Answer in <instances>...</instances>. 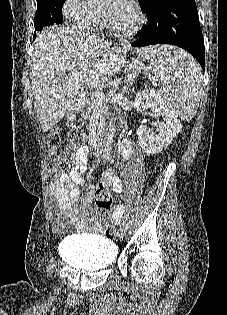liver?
<instances>
[{
    "label": "liver",
    "mask_w": 227,
    "mask_h": 315,
    "mask_svg": "<svg viewBox=\"0 0 227 315\" xmlns=\"http://www.w3.org/2000/svg\"><path fill=\"white\" fill-rule=\"evenodd\" d=\"M33 49L30 79L43 131L75 109L88 78L117 71L122 59L121 51L110 48L108 41L61 25L38 32Z\"/></svg>",
    "instance_id": "obj_1"
}]
</instances>
